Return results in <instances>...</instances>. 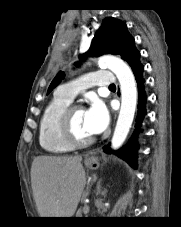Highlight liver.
<instances>
[{
	"label": "liver",
	"mask_w": 181,
	"mask_h": 227,
	"mask_svg": "<svg viewBox=\"0 0 181 227\" xmlns=\"http://www.w3.org/2000/svg\"><path fill=\"white\" fill-rule=\"evenodd\" d=\"M81 156H39L31 167L34 200L41 217H72L86 184Z\"/></svg>",
	"instance_id": "1"
}]
</instances>
